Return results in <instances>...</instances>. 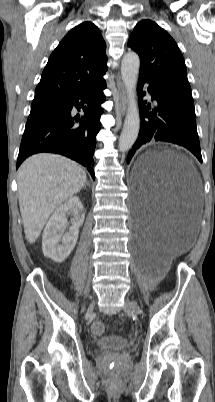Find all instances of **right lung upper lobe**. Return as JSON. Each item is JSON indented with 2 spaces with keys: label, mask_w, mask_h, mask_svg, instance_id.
<instances>
[{
  "label": "right lung upper lobe",
  "mask_w": 215,
  "mask_h": 402,
  "mask_svg": "<svg viewBox=\"0 0 215 402\" xmlns=\"http://www.w3.org/2000/svg\"><path fill=\"white\" fill-rule=\"evenodd\" d=\"M105 50L96 25L84 22L74 27L51 54L33 102L63 101L93 85L106 72Z\"/></svg>",
  "instance_id": "obj_1"
}]
</instances>
